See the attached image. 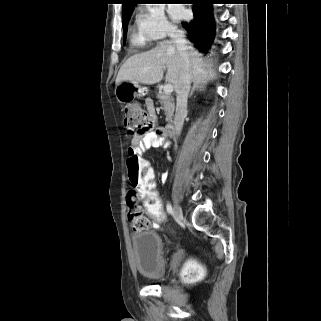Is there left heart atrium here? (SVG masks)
I'll return each instance as SVG.
<instances>
[{
    "mask_svg": "<svg viewBox=\"0 0 321 321\" xmlns=\"http://www.w3.org/2000/svg\"><path fill=\"white\" fill-rule=\"evenodd\" d=\"M170 15L172 16L173 19L179 20L184 17L185 11L183 8L180 6H172L169 10Z\"/></svg>",
    "mask_w": 321,
    "mask_h": 321,
    "instance_id": "obj_1",
    "label": "left heart atrium"
}]
</instances>
